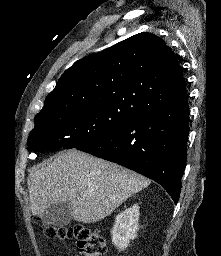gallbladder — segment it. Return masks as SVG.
<instances>
[{"mask_svg": "<svg viewBox=\"0 0 221 256\" xmlns=\"http://www.w3.org/2000/svg\"><path fill=\"white\" fill-rule=\"evenodd\" d=\"M72 219L71 208L68 203H56L48 207L41 216L45 227L50 225L63 227Z\"/></svg>", "mask_w": 221, "mask_h": 256, "instance_id": "gallbladder-1", "label": "gallbladder"}]
</instances>
